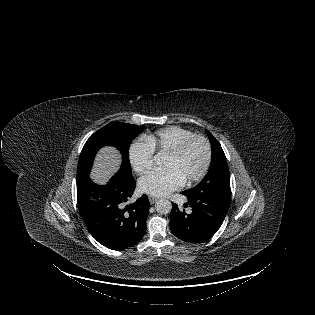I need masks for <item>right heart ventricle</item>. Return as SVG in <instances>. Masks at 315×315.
Returning <instances> with one entry per match:
<instances>
[{
	"mask_svg": "<svg viewBox=\"0 0 315 315\" xmlns=\"http://www.w3.org/2000/svg\"><path fill=\"white\" fill-rule=\"evenodd\" d=\"M194 135L191 130L181 126H167L157 130L146 139L157 151H169L178 143Z\"/></svg>",
	"mask_w": 315,
	"mask_h": 315,
	"instance_id": "obj_1",
	"label": "right heart ventricle"
}]
</instances>
